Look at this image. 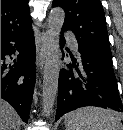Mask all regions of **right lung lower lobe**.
<instances>
[{
  "instance_id": "1",
  "label": "right lung lower lobe",
  "mask_w": 123,
  "mask_h": 130,
  "mask_svg": "<svg viewBox=\"0 0 123 130\" xmlns=\"http://www.w3.org/2000/svg\"><path fill=\"white\" fill-rule=\"evenodd\" d=\"M16 52L19 54L12 64H8L6 55ZM35 80V38L32 29L2 36L1 98L15 108L24 122L29 118Z\"/></svg>"
}]
</instances>
